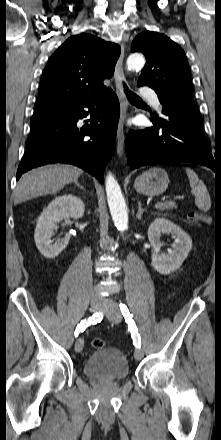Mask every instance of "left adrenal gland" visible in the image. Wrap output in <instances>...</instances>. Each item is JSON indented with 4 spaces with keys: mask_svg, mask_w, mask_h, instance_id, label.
Returning a JSON list of instances; mask_svg holds the SVG:
<instances>
[{
    "mask_svg": "<svg viewBox=\"0 0 221 440\" xmlns=\"http://www.w3.org/2000/svg\"><path fill=\"white\" fill-rule=\"evenodd\" d=\"M145 211H146V209H143V208H142L141 202L139 201V202H138V212H137L136 218H137L138 220H141L142 215H143V213H144Z\"/></svg>",
    "mask_w": 221,
    "mask_h": 440,
    "instance_id": "obj_1",
    "label": "left adrenal gland"
}]
</instances>
